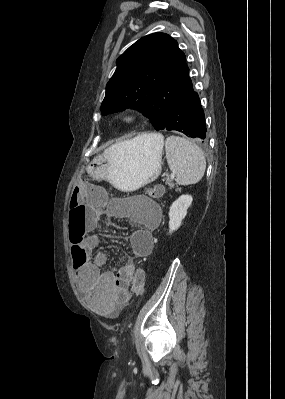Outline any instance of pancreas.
Here are the masks:
<instances>
[{"mask_svg":"<svg viewBox=\"0 0 285 399\" xmlns=\"http://www.w3.org/2000/svg\"><path fill=\"white\" fill-rule=\"evenodd\" d=\"M166 185H168L169 186V188L170 189H172L173 187H174V183H173V179L171 178V179H166Z\"/></svg>","mask_w":285,"mask_h":399,"instance_id":"cf45deb5","label":"pancreas"}]
</instances>
